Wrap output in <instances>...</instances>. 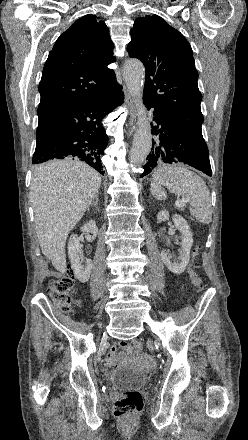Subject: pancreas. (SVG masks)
Masks as SVG:
<instances>
[{"label": "pancreas", "mask_w": 248, "mask_h": 440, "mask_svg": "<svg viewBox=\"0 0 248 440\" xmlns=\"http://www.w3.org/2000/svg\"><path fill=\"white\" fill-rule=\"evenodd\" d=\"M177 207V209L179 210V211H184V207L182 206V207H179V206H176Z\"/></svg>", "instance_id": "obj_1"}]
</instances>
